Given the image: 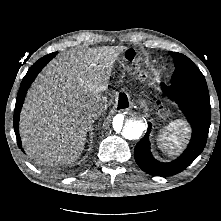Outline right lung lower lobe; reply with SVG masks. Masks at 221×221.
Listing matches in <instances>:
<instances>
[{
  "label": "right lung lower lobe",
  "mask_w": 221,
  "mask_h": 221,
  "mask_svg": "<svg viewBox=\"0 0 221 221\" xmlns=\"http://www.w3.org/2000/svg\"><path fill=\"white\" fill-rule=\"evenodd\" d=\"M57 52L51 53L49 55H46L39 59L37 62H35L32 67L28 70L27 74L22 80L17 99H16V106L14 110V130L18 142V146L21 148L22 143L19 136V117H20V111L22 108V104L25 98V95L27 93L28 88L30 87L31 83L33 82L34 78L37 76V74L42 70V68L52 59L56 56ZM23 151V150H22Z\"/></svg>",
  "instance_id": "98d812e1"
}]
</instances>
